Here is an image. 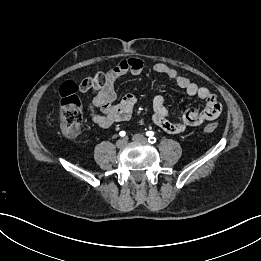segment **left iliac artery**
<instances>
[{
	"label": "left iliac artery",
	"mask_w": 261,
	"mask_h": 261,
	"mask_svg": "<svg viewBox=\"0 0 261 261\" xmlns=\"http://www.w3.org/2000/svg\"><path fill=\"white\" fill-rule=\"evenodd\" d=\"M146 135L149 137L148 138V142L149 143H155L156 142V138L154 137V132H152V131H147L146 132Z\"/></svg>",
	"instance_id": "1"
}]
</instances>
